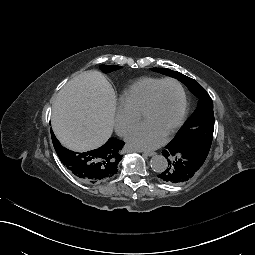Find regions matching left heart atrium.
<instances>
[{"label": "left heart atrium", "mask_w": 255, "mask_h": 255, "mask_svg": "<svg viewBox=\"0 0 255 255\" xmlns=\"http://www.w3.org/2000/svg\"><path fill=\"white\" fill-rule=\"evenodd\" d=\"M164 138L145 124L135 126L127 136L128 144L137 149H153L160 146Z\"/></svg>", "instance_id": "39dd6f15"}]
</instances>
